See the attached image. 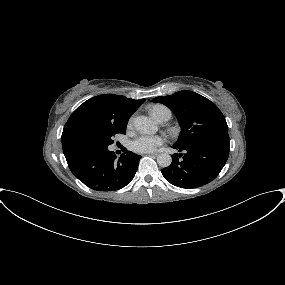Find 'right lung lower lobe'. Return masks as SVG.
Here are the masks:
<instances>
[{
  "label": "right lung lower lobe",
  "instance_id": "1",
  "mask_svg": "<svg viewBox=\"0 0 285 285\" xmlns=\"http://www.w3.org/2000/svg\"><path fill=\"white\" fill-rule=\"evenodd\" d=\"M141 156L125 151L119 159L107 148L88 146L66 156L71 172L86 186L97 191H115L135 176Z\"/></svg>",
  "mask_w": 285,
  "mask_h": 285
}]
</instances>
